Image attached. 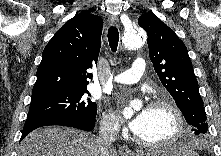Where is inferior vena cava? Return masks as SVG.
<instances>
[{"mask_svg":"<svg viewBox=\"0 0 221 156\" xmlns=\"http://www.w3.org/2000/svg\"><path fill=\"white\" fill-rule=\"evenodd\" d=\"M117 128L114 122L106 121L102 124L99 137L97 138L98 146L102 152L108 151L115 141Z\"/></svg>","mask_w":221,"mask_h":156,"instance_id":"inferior-vena-cava-1","label":"inferior vena cava"}]
</instances>
